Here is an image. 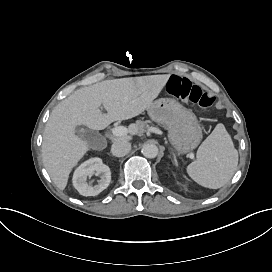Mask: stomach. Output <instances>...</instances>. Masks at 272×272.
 <instances>
[{"mask_svg": "<svg viewBox=\"0 0 272 272\" xmlns=\"http://www.w3.org/2000/svg\"><path fill=\"white\" fill-rule=\"evenodd\" d=\"M150 118L169 132L171 144L180 153L195 149L202 139V129L195 114L175 99L160 98L148 108Z\"/></svg>", "mask_w": 272, "mask_h": 272, "instance_id": "1", "label": "stomach"}]
</instances>
